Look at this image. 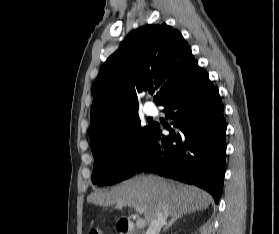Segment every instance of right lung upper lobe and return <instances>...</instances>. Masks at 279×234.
Wrapping results in <instances>:
<instances>
[{
  "label": "right lung upper lobe",
  "mask_w": 279,
  "mask_h": 234,
  "mask_svg": "<svg viewBox=\"0 0 279 234\" xmlns=\"http://www.w3.org/2000/svg\"><path fill=\"white\" fill-rule=\"evenodd\" d=\"M196 63L181 33L165 23L131 31L97 76L91 108V145L137 114V93L154 85V101L159 104ZM121 106L127 108V115L121 114Z\"/></svg>",
  "instance_id": "obj_1"
}]
</instances>
